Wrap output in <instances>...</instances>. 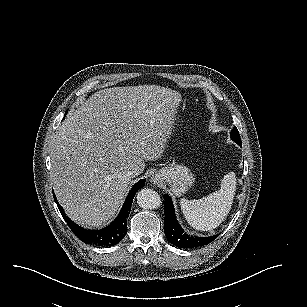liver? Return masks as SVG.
<instances>
[{"label": "liver", "mask_w": 307, "mask_h": 307, "mask_svg": "<svg viewBox=\"0 0 307 307\" xmlns=\"http://www.w3.org/2000/svg\"><path fill=\"white\" fill-rule=\"evenodd\" d=\"M179 92L158 85L96 91L58 128L51 150L52 187L66 216L102 229L118 215L131 178L144 159H157L171 134Z\"/></svg>", "instance_id": "obj_1"}]
</instances>
